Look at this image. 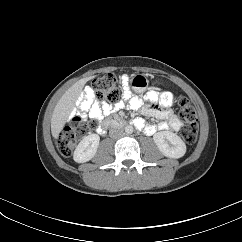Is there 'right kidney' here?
<instances>
[{
	"label": "right kidney",
	"mask_w": 242,
	"mask_h": 242,
	"mask_svg": "<svg viewBox=\"0 0 242 242\" xmlns=\"http://www.w3.org/2000/svg\"><path fill=\"white\" fill-rule=\"evenodd\" d=\"M99 141L100 137L97 134H91L83 138L74 151V161L84 163L91 160L97 152Z\"/></svg>",
	"instance_id": "1"
}]
</instances>
